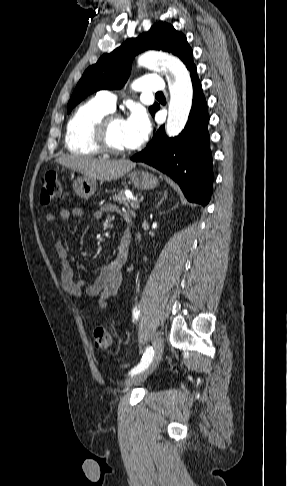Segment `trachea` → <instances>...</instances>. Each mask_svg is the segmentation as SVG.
Segmentation results:
<instances>
[{"instance_id":"trachea-1","label":"trachea","mask_w":287,"mask_h":486,"mask_svg":"<svg viewBox=\"0 0 287 486\" xmlns=\"http://www.w3.org/2000/svg\"><path fill=\"white\" fill-rule=\"evenodd\" d=\"M156 96H163V93L162 92H158V93H156Z\"/></svg>"}]
</instances>
